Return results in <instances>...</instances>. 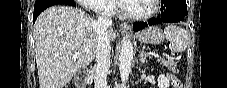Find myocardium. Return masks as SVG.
Returning a JSON list of instances; mask_svg holds the SVG:
<instances>
[{
	"instance_id": "myocardium-1",
	"label": "myocardium",
	"mask_w": 227,
	"mask_h": 88,
	"mask_svg": "<svg viewBox=\"0 0 227 88\" xmlns=\"http://www.w3.org/2000/svg\"><path fill=\"white\" fill-rule=\"evenodd\" d=\"M126 1H131V0H126ZM151 1H152V9L150 12H148L146 14H133V13L126 12L124 9V4H123L124 1H118L117 11L120 15H122L128 19L135 20V21H145V20H148L151 17H153L156 14L157 9H158L159 0H151Z\"/></svg>"
}]
</instances>
